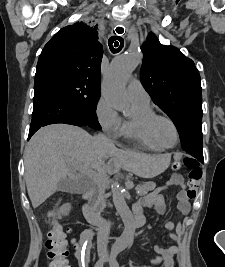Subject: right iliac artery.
<instances>
[{
	"label": "right iliac artery",
	"mask_w": 225,
	"mask_h": 267,
	"mask_svg": "<svg viewBox=\"0 0 225 267\" xmlns=\"http://www.w3.org/2000/svg\"><path fill=\"white\" fill-rule=\"evenodd\" d=\"M94 267H103V261L102 260L97 261Z\"/></svg>",
	"instance_id": "1"
}]
</instances>
